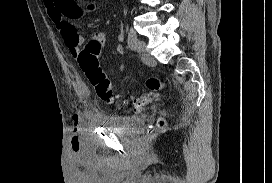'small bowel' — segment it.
Wrapping results in <instances>:
<instances>
[{"instance_id": "obj_1", "label": "small bowel", "mask_w": 272, "mask_h": 183, "mask_svg": "<svg viewBox=\"0 0 272 183\" xmlns=\"http://www.w3.org/2000/svg\"><path fill=\"white\" fill-rule=\"evenodd\" d=\"M49 18L57 24L58 30L64 40L65 45L74 57H78L80 48L84 43V37L78 34L74 26L67 19H75L81 16L83 12H93L96 9L94 3H88L82 9L75 0H43ZM122 34L118 35V40H122ZM102 44L107 45V37L103 32H95L92 34V39ZM116 54H123L121 45H117L113 49ZM122 70V68H121Z\"/></svg>"}]
</instances>
